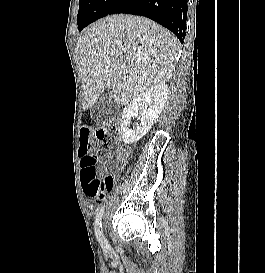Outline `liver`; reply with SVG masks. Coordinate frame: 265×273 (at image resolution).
I'll return each mask as SVG.
<instances>
[{"label": "liver", "instance_id": "liver-1", "mask_svg": "<svg viewBox=\"0 0 265 273\" xmlns=\"http://www.w3.org/2000/svg\"><path fill=\"white\" fill-rule=\"evenodd\" d=\"M179 49L170 31L145 17L119 14L95 22L76 47L84 109L94 106L107 89H112L117 104L124 105L167 82Z\"/></svg>", "mask_w": 265, "mask_h": 273}]
</instances>
